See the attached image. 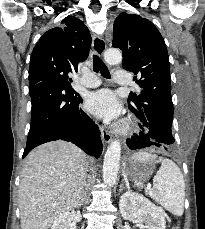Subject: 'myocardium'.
<instances>
[{
    "label": "myocardium",
    "mask_w": 205,
    "mask_h": 229,
    "mask_svg": "<svg viewBox=\"0 0 205 229\" xmlns=\"http://www.w3.org/2000/svg\"><path fill=\"white\" fill-rule=\"evenodd\" d=\"M130 126V122L129 121H125L122 125L119 126L118 130L119 131H127L129 129Z\"/></svg>",
    "instance_id": "myocardium-1"
}]
</instances>
